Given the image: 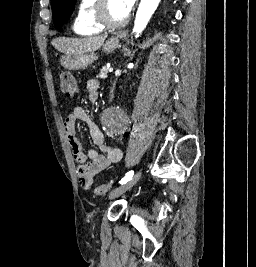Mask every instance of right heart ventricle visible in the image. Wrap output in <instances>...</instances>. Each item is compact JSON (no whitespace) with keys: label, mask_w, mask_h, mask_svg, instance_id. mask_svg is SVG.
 <instances>
[{"label":"right heart ventricle","mask_w":256,"mask_h":267,"mask_svg":"<svg viewBox=\"0 0 256 267\" xmlns=\"http://www.w3.org/2000/svg\"><path fill=\"white\" fill-rule=\"evenodd\" d=\"M85 6L72 26V31L78 36H101L103 29L97 26L93 20L97 0H84Z\"/></svg>","instance_id":"right-heart-ventricle-1"}]
</instances>
